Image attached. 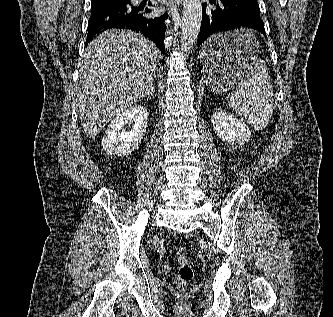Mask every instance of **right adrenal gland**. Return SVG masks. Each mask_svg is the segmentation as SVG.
Returning <instances> with one entry per match:
<instances>
[{
  "label": "right adrenal gland",
  "instance_id": "obj_1",
  "mask_svg": "<svg viewBox=\"0 0 333 317\" xmlns=\"http://www.w3.org/2000/svg\"><path fill=\"white\" fill-rule=\"evenodd\" d=\"M150 95L156 96L154 86L152 87L151 91L148 93V96H150Z\"/></svg>",
  "mask_w": 333,
  "mask_h": 317
}]
</instances>
